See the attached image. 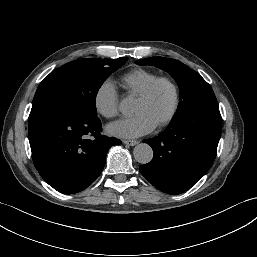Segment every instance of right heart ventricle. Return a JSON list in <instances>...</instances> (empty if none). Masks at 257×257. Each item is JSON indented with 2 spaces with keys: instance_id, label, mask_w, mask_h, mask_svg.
Masks as SVG:
<instances>
[{
  "instance_id": "right-heart-ventricle-1",
  "label": "right heart ventricle",
  "mask_w": 257,
  "mask_h": 257,
  "mask_svg": "<svg viewBox=\"0 0 257 257\" xmlns=\"http://www.w3.org/2000/svg\"><path fill=\"white\" fill-rule=\"evenodd\" d=\"M159 75L147 69H135L120 78V83L129 96L137 97Z\"/></svg>"
}]
</instances>
